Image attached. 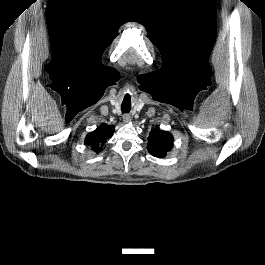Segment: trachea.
<instances>
[{"mask_svg":"<svg viewBox=\"0 0 265 265\" xmlns=\"http://www.w3.org/2000/svg\"><path fill=\"white\" fill-rule=\"evenodd\" d=\"M121 109H122V112L123 113H129L130 112V109H131V106L128 105V104H125L123 102L122 105H121Z\"/></svg>","mask_w":265,"mask_h":265,"instance_id":"1","label":"trachea"}]
</instances>
